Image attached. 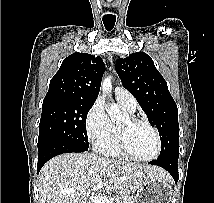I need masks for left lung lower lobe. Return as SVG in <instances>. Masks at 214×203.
<instances>
[{
  "instance_id": "0a47b994",
  "label": "left lung lower lobe",
  "mask_w": 214,
  "mask_h": 203,
  "mask_svg": "<svg viewBox=\"0 0 214 203\" xmlns=\"http://www.w3.org/2000/svg\"><path fill=\"white\" fill-rule=\"evenodd\" d=\"M178 158H179V155L178 156L169 155V156L160 157V158L158 157L157 160L150 161L149 164L157 165L167 170L174 178L175 183H177L179 178L178 166H177Z\"/></svg>"
}]
</instances>
